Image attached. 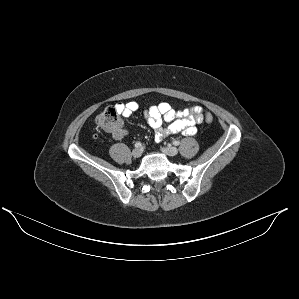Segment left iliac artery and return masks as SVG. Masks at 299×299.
Masks as SVG:
<instances>
[{"mask_svg": "<svg viewBox=\"0 0 299 299\" xmlns=\"http://www.w3.org/2000/svg\"><path fill=\"white\" fill-rule=\"evenodd\" d=\"M172 143H173V145H175V146H178V145L180 144V142L177 141V140H174Z\"/></svg>", "mask_w": 299, "mask_h": 299, "instance_id": "44dca946", "label": "left iliac artery"}]
</instances>
